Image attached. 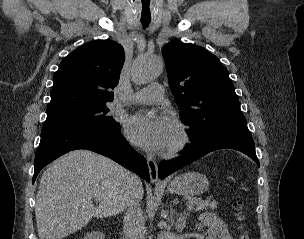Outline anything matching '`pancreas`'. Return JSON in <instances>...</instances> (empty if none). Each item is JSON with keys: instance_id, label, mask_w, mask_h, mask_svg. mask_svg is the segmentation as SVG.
Wrapping results in <instances>:
<instances>
[{"instance_id": "obj_1", "label": "pancreas", "mask_w": 304, "mask_h": 239, "mask_svg": "<svg viewBox=\"0 0 304 239\" xmlns=\"http://www.w3.org/2000/svg\"><path fill=\"white\" fill-rule=\"evenodd\" d=\"M216 207V201L209 198L205 201L197 202V206L195 208L196 211H203L208 209H214Z\"/></svg>"}]
</instances>
